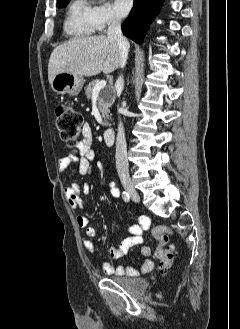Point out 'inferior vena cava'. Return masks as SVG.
<instances>
[{
    "instance_id": "inferior-vena-cava-1",
    "label": "inferior vena cava",
    "mask_w": 240,
    "mask_h": 329,
    "mask_svg": "<svg viewBox=\"0 0 240 329\" xmlns=\"http://www.w3.org/2000/svg\"><path fill=\"white\" fill-rule=\"evenodd\" d=\"M107 37L109 39L114 40L120 51V67L124 68L126 64V60L128 57L129 51V43L126 38L123 36L121 31V19L119 17H113L111 20V24L107 30ZM115 87L117 91L120 93L124 87V80L122 76H120L116 83ZM118 112L122 113V109L118 108ZM116 168L119 175L128 176V159H127V144L125 139V133L122 123L120 122L118 125V132L116 138Z\"/></svg>"
}]
</instances>
